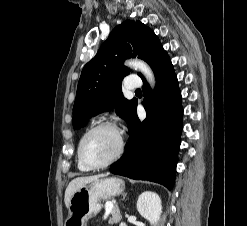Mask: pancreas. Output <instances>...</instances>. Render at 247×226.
Segmentation results:
<instances>
[{"label": "pancreas", "mask_w": 247, "mask_h": 226, "mask_svg": "<svg viewBox=\"0 0 247 226\" xmlns=\"http://www.w3.org/2000/svg\"><path fill=\"white\" fill-rule=\"evenodd\" d=\"M117 211L118 210H117L116 207H114L112 209V211L110 212V214H111L112 217L109 218V223H114V222H116L118 220V218H117Z\"/></svg>", "instance_id": "pancreas-1"}]
</instances>
